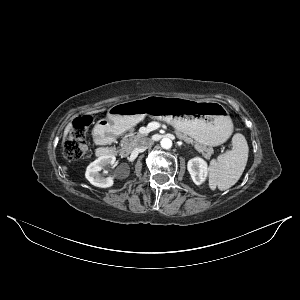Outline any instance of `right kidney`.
<instances>
[{"mask_svg": "<svg viewBox=\"0 0 300 300\" xmlns=\"http://www.w3.org/2000/svg\"><path fill=\"white\" fill-rule=\"evenodd\" d=\"M116 161V158L114 155H103L97 158L95 161L90 163L86 169L85 177L86 179L94 186L101 187V188H107L111 187L114 184V178L113 177H102L99 174V171H101L102 167L105 165H113Z\"/></svg>", "mask_w": 300, "mask_h": 300, "instance_id": "1", "label": "right kidney"}]
</instances>
